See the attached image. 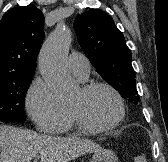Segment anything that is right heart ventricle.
<instances>
[{
	"label": "right heart ventricle",
	"mask_w": 168,
	"mask_h": 162,
	"mask_svg": "<svg viewBox=\"0 0 168 162\" xmlns=\"http://www.w3.org/2000/svg\"><path fill=\"white\" fill-rule=\"evenodd\" d=\"M74 129L81 130L80 128L75 127L74 119L69 111V120H68L67 124L63 128H61L58 132L67 133V132L73 131Z\"/></svg>",
	"instance_id": "1"
}]
</instances>
